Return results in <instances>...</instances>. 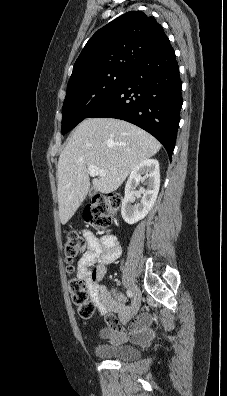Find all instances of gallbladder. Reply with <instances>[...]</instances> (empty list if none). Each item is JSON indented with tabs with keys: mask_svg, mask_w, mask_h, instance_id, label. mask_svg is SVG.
<instances>
[{
	"mask_svg": "<svg viewBox=\"0 0 227 396\" xmlns=\"http://www.w3.org/2000/svg\"><path fill=\"white\" fill-rule=\"evenodd\" d=\"M96 193V189L94 187H92L89 191V195H94Z\"/></svg>",
	"mask_w": 227,
	"mask_h": 396,
	"instance_id": "bac80fb5",
	"label": "gallbladder"
}]
</instances>
